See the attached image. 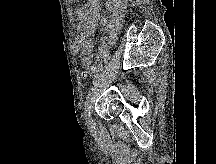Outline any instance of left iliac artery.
<instances>
[{
  "label": "left iliac artery",
  "mask_w": 216,
  "mask_h": 164,
  "mask_svg": "<svg viewBox=\"0 0 216 164\" xmlns=\"http://www.w3.org/2000/svg\"><path fill=\"white\" fill-rule=\"evenodd\" d=\"M92 92L94 90V88L91 89ZM92 92H88L87 96H86V101H85V117L88 118L91 116V100H92ZM94 126L90 127V128H93Z\"/></svg>",
  "instance_id": "left-iliac-artery-1"
}]
</instances>
